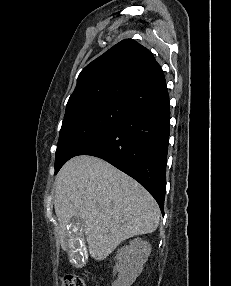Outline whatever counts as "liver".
<instances>
[{
	"mask_svg": "<svg viewBox=\"0 0 231 286\" xmlns=\"http://www.w3.org/2000/svg\"><path fill=\"white\" fill-rule=\"evenodd\" d=\"M55 213L60 243L68 247L67 227L73 217L84 220L91 257L104 260L126 239L154 232L160 209L137 181L94 156H76L55 180Z\"/></svg>",
	"mask_w": 231,
	"mask_h": 286,
	"instance_id": "liver-1",
	"label": "liver"
}]
</instances>
